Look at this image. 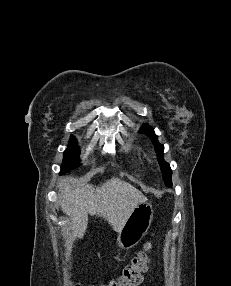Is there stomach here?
I'll return each mask as SVG.
<instances>
[{"instance_id": "1", "label": "stomach", "mask_w": 231, "mask_h": 286, "mask_svg": "<svg viewBox=\"0 0 231 286\" xmlns=\"http://www.w3.org/2000/svg\"><path fill=\"white\" fill-rule=\"evenodd\" d=\"M152 220L153 208L151 204L140 203L118 232L117 246L121 249H130L137 245L146 234Z\"/></svg>"}]
</instances>
